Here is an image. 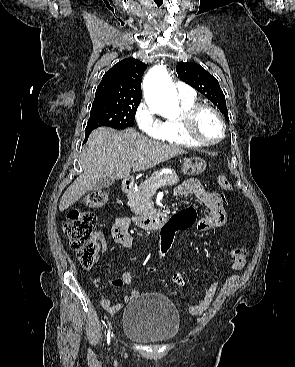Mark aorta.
<instances>
[{"instance_id": "obj_1", "label": "aorta", "mask_w": 295, "mask_h": 367, "mask_svg": "<svg viewBox=\"0 0 295 367\" xmlns=\"http://www.w3.org/2000/svg\"><path fill=\"white\" fill-rule=\"evenodd\" d=\"M144 97L153 112L168 118L179 116L177 92L163 65L154 66L145 76Z\"/></svg>"}]
</instances>
